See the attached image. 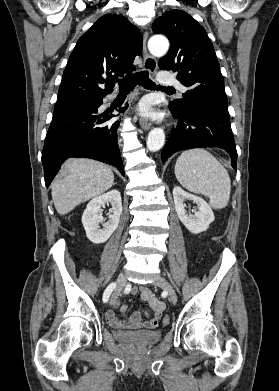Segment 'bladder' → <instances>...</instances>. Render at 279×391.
I'll list each match as a JSON object with an SVG mask.
<instances>
[{
  "instance_id": "bladder-1",
  "label": "bladder",
  "mask_w": 279,
  "mask_h": 391,
  "mask_svg": "<svg viewBox=\"0 0 279 391\" xmlns=\"http://www.w3.org/2000/svg\"><path fill=\"white\" fill-rule=\"evenodd\" d=\"M114 337L121 343L134 347L142 348L154 344L161 337V331L151 330H133V331H115Z\"/></svg>"
}]
</instances>
